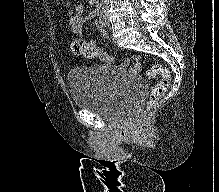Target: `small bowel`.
I'll use <instances>...</instances> for the list:
<instances>
[{
	"label": "small bowel",
	"mask_w": 219,
	"mask_h": 192,
	"mask_svg": "<svg viewBox=\"0 0 219 192\" xmlns=\"http://www.w3.org/2000/svg\"><path fill=\"white\" fill-rule=\"evenodd\" d=\"M95 0H90V3H94ZM66 5L69 6L70 3L66 2ZM96 17V13L94 11L90 12L87 16H85V9L82 5H77L70 17V26L72 31L75 34L80 35L82 33L83 25L86 21L93 20ZM99 31L103 37H107V32L103 28V26H99ZM138 68L133 67L131 68V72H137Z\"/></svg>",
	"instance_id": "1"
}]
</instances>
